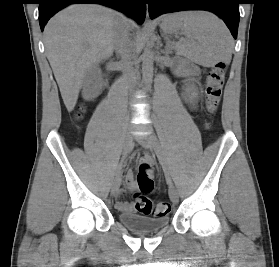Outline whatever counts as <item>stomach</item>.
Masks as SVG:
<instances>
[{
  "label": "stomach",
  "mask_w": 279,
  "mask_h": 267,
  "mask_svg": "<svg viewBox=\"0 0 279 267\" xmlns=\"http://www.w3.org/2000/svg\"><path fill=\"white\" fill-rule=\"evenodd\" d=\"M160 26L164 32H172L180 26V22L175 15H168L162 20Z\"/></svg>",
  "instance_id": "obj_1"
}]
</instances>
